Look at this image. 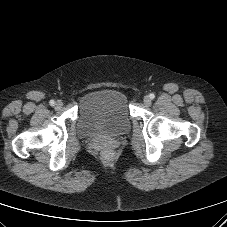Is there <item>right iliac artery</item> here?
Here are the masks:
<instances>
[{
  "instance_id": "1",
  "label": "right iliac artery",
  "mask_w": 227,
  "mask_h": 227,
  "mask_svg": "<svg viewBox=\"0 0 227 227\" xmlns=\"http://www.w3.org/2000/svg\"><path fill=\"white\" fill-rule=\"evenodd\" d=\"M49 103H50L51 106H54L55 105V101L54 100H50Z\"/></svg>"
}]
</instances>
